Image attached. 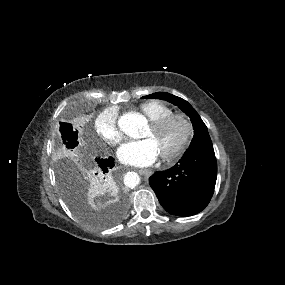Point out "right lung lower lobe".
<instances>
[{"instance_id":"1","label":"right lung lower lobe","mask_w":285,"mask_h":285,"mask_svg":"<svg viewBox=\"0 0 285 285\" xmlns=\"http://www.w3.org/2000/svg\"><path fill=\"white\" fill-rule=\"evenodd\" d=\"M95 160L102 175L101 182L105 185L110 184L112 168L114 167V159L112 157H109L106 159L96 158Z\"/></svg>"}]
</instances>
